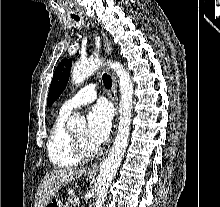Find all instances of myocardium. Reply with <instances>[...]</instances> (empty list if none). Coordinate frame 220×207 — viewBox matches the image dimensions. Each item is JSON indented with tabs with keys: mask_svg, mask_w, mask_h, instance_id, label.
<instances>
[{
	"mask_svg": "<svg viewBox=\"0 0 220 207\" xmlns=\"http://www.w3.org/2000/svg\"><path fill=\"white\" fill-rule=\"evenodd\" d=\"M70 146L73 155L79 161H86L95 158L99 154V149L96 148L93 151H87L80 140L73 134L70 133Z\"/></svg>",
	"mask_w": 220,
	"mask_h": 207,
	"instance_id": "obj_1",
	"label": "myocardium"
}]
</instances>
